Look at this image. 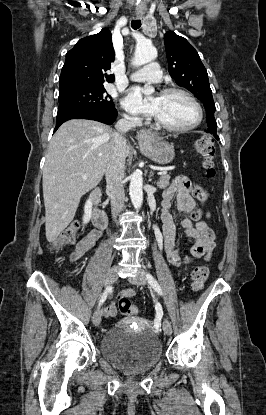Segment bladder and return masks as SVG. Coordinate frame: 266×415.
<instances>
[{"mask_svg": "<svg viewBox=\"0 0 266 415\" xmlns=\"http://www.w3.org/2000/svg\"><path fill=\"white\" fill-rule=\"evenodd\" d=\"M100 350L105 359L129 374L150 370L162 357V344L150 330L129 332L112 328L103 336Z\"/></svg>", "mask_w": 266, "mask_h": 415, "instance_id": "bladder-1", "label": "bladder"}]
</instances>
